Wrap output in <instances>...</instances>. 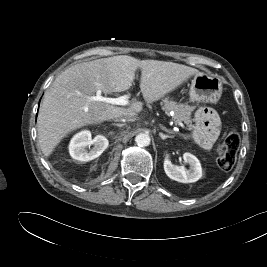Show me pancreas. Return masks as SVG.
I'll use <instances>...</instances> for the list:
<instances>
[{"label":"pancreas","instance_id":"1","mask_svg":"<svg viewBox=\"0 0 267 267\" xmlns=\"http://www.w3.org/2000/svg\"><path fill=\"white\" fill-rule=\"evenodd\" d=\"M161 106L167 113L170 111L174 112L173 118L175 122H184L190 130L194 128L191 116L193 111L192 107L187 104L177 103L169 98L162 99Z\"/></svg>","mask_w":267,"mask_h":267}]
</instances>
